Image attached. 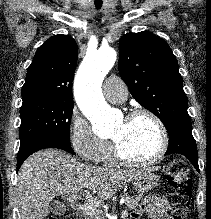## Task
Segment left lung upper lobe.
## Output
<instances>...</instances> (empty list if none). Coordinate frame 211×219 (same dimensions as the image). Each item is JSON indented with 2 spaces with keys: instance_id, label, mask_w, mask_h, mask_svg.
<instances>
[{
  "instance_id": "1",
  "label": "left lung upper lobe",
  "mask_w": 211,
  "mask_h": 219,
  "mask_svg": "<svg viewBox=\"0 0 211 219\" xmlns=\"http://www.w3.org/2000/svg\"><path fill=\"white\" fill-rule=\"evenodd\" d=\"M118 70L134 99L169 132L191 123L178 62L168 44L151 32L128 33L119 41Z\"/></svg>"
}]
</instances>
